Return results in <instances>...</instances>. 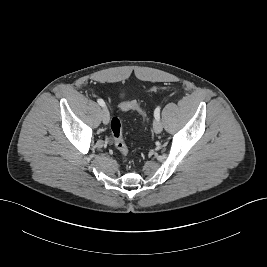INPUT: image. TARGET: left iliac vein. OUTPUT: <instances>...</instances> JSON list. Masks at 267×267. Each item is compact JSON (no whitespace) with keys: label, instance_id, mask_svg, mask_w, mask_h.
I'll list each match as a JSON object with an SVG mask.
<instances>
[{"label":"left iliac vein","instance_id":"4c4485c4","mask_svg":"<svg viewBox=\"0 0 267 267\" xmlns=\"http://www.w3.org/2000/svg\"><path fill=\"white\" fill-rule=\"evenodd\" d=\"M162 129H163V126H162V123L160 120H155L153 122V130L155 133H161L162 132Z\"/></svg>","mask_w":267,"mask_h":267}]
</instances>
